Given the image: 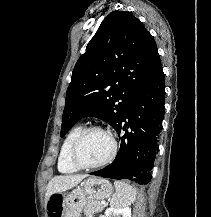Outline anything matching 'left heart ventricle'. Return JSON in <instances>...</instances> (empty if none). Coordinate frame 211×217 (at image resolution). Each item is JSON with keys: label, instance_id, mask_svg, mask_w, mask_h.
<instances>
[{"label": "left heart ventricle", "instance_id": "1", "mask_svg": "<svg viewBox=\"0 0 211 217\" xmlns=\"http://www.w3.org/2000/svg\"><path fill=\"white\" fill-rule=\"evenodd\" d=\"M111 148L112 142L106 133L92 131L83 140L79 155L84 163H98L109 155Z\"/></svg>", "mask_w": 211, "mask_h": 217}]
</instances>
